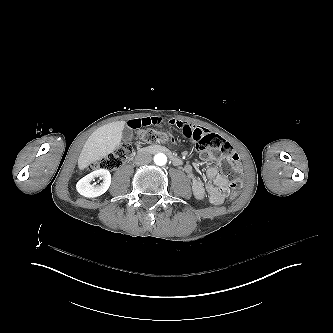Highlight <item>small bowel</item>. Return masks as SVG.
<instances>
[{
    "mask_svg": "<svg viewBox=\"0 0 333 333\" xmlns=\"http://www.w3.org/2000/svg\"><path fill=\"white\" fill-rule=\"evenodd\" d=\"M163 123V118L154 117H143L129 121V125L133 128H140L145 126H158ZM171 124L182 127L187 132H199L205 133L200 128H191L187 123L182 121H170ZM206 160L220 161V156H214L209 153L205 155ZM184 171L192 181V190L197 199H203L206 195L208 200L213 205L223 204L227 194L229 193V181L226 175L219 173L217 166H210L206 171L207 180L202 182L200 179L193 175L192 167L186 165Z\"/></svg>",
    "mask_w": 333,
    "mask_h": 333,
    "instance_id": "small-bowel-1",
    "label": "small bowel"
}]
</instances>
